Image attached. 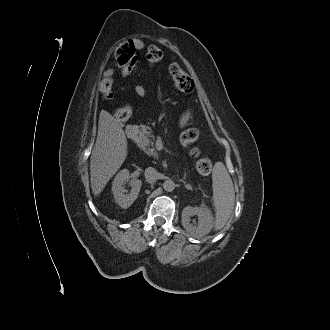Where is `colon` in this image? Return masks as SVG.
I'll return each instance as SVG.
<instances>
[{
    "instance_id": "1",
    "label": "colon",
    "mask_w": 330,
    "mask_h": 330,
    "mask_svg": "<svg viewBox=\"0 0 330 330\" xmlns=\"http://www.w3.org/2000/svg\"><path fill=\"white\" fill-rule=\"evenodd\" d=\"M135 48L131 42L125 43L120 46L115 52V59L119 65H126L135 59L134 57ZM163 51L157 46H150L146 51V60L150 66L157 65L163 59ZM169 75L176 87L182 93L189 94L194 90V81L186 73L179 64L172 63L169 66ZM112 74L106 72L103 80L100 83V93L104 98H110L112 96ZM115 118L121 122H124L118 113H115ZM199 132L195 128L185 130L181 135L182 144L188 148L190 155L196 159V169L200 174H209L212 169L211 160L201 155L199 147L195 145L198 140Z\"/></svg>"
}]
</instances>
